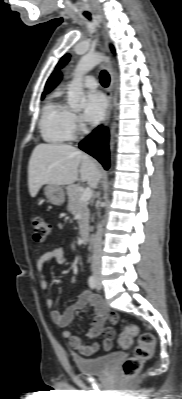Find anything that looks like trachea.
I'll return each mask as SVG.
<instances>
[{
	"label": "trachea",
	"instance_id": "1",
	"mask_svg": "<svg viewBox=\"0 0 182 399\" xmlns=\"http://www.w3.org/2000/svg\"><path fill=\"white\" fill-rule=\"evenodd\" d=\"M85 16H86L88 19L91 18L90 14H86ZM100 82H101V84H102L104 87H107V86L109 85V83H110V76H109V74H108L105 70H103V71L100 73Z\"/></svg>",
	"mask_w": 182,
	"mask_h": 399
}]
</instances>
